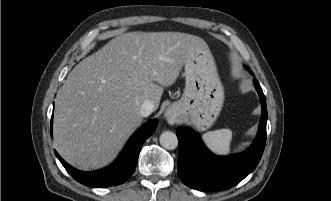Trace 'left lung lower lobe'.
<instances>
[{"label":"left lung lower lobe","instance_id":"obj_1","mask_svg":"<svg viewBox=\"0 0 331 201\" xmlns=\"http://www.w3.org/2000/svg\"><path fill=\"white\" fill-rule=\"evenodd\" d=\"M253 81L261 99L262 116L256 139L245 152L227 157L216 156L205 147L193 129L178 128V174L188 187L200 191L228 189L238 184L257 166L266 142L267 109L263 91L258 81Z\"/></svg>","mask_w":331,"mask_h":201}]
</instances>
